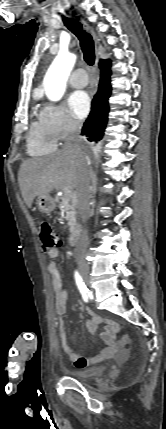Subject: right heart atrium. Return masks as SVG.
I'll return each mask as SVG.
<instances>
[{
  "label": "right heart atrium",
  "instance_id": "d8ad5b80",
  "mask_svg": "<svg viewBox=\"0 0 166 429\" xmlns=\"http://www.w3.org/2000/svg\"><path fill=\"white\" fill-rule=\"evenodd\" d=\"M39 120L56 141L64 140L77 133L81 127V124L71 117L62 104L44 105Z\"/></svg>",
  "mask_w": 166,
  "mask_h": 429
}]
</instances>
